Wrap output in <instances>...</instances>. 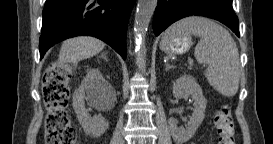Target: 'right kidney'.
Listing matches in <instances>:
<instances>
[{"instance_id":"obj_1","label":"right kidney","mask_w":273,"mask_h":144,"mask_svg":"<svg viewBox=\"0 0 273 144\" xmlns=\"http://www.w3.org/2000/svg\"><path fill=\"white\" fill-rule=\"evenodd\" d=\"M96 89H101L102 96L106 92H113L112 86L103 78L101 72L97 69H92L87 73L79 89L73 94V109L77 114V118L84 132L94 138L100 137L107 127L106 120L99 116H93L88 113L85 108L86 95L94 103L97 102ZM106 90V92H105Z\"/></svg>"}]
</instances>
